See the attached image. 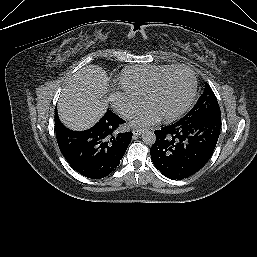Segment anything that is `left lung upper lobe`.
<instances>
[{"instance_id": "left-lung-upper-lobe-1", "label": "left lung upper lobe", "mask_w": 257, "mask_h": 257, "mask_svg": "<svg viewBox=\"0 0 257 257\" xmlns=\"http://www.w3.org/2000/svg\"><path fill=\"white\" fill-rule=\"evenodd\" d=\"M206 116H221L217 98L207 83L194 107L183 118L195 120Z\"/></svg>"}]
</instances>
